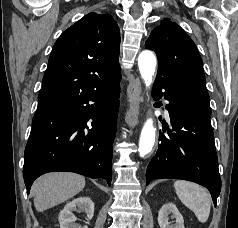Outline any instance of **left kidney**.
Returning <instances> with one entry per match:
<instances>
[{
    "label": "left kidney",
    "instance_id": "obj_1",
    "mask_svg": "<svg viewBox=\"0 0 238 228\" xmlns=\"http://www.w3.org/2000/svg\"><path fill=\"white\" fill-rule=\"evenodd\" d=\"M170 215L175 219L174 224L168 221ZM158 223L160 228H185L183 216L178 211L176 205L171 202L164 204L160 209L158 213Z\"/></svg>",
    "mask_w": 238,
    "mask_h": 228
}]
</instances>
